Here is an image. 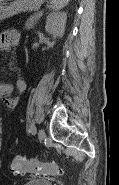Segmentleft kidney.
I'll use <instances>...</instances> for the list:
<instances>
[{
	"label": "left kidney",
	"mask_w": 119,
	"mask_h": 185,
	"mask_svg": "<svg viewBox=\"0 0 119 185\" xmlns=\"http://www.w3.org/2000/svg\"><path fill=\"white\" fill-rule=\"evenodd\" d=\"M67 14L65 12H51L47 16L45 30L54 37H63Z\"/></svg>",
	"instance_id": "left-kidney-1"
}]
</instances>
